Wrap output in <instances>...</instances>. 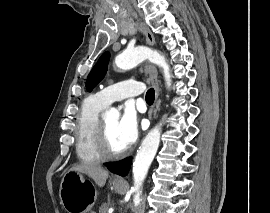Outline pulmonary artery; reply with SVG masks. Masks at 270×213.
I'll list each match as a JSON object with an SVG mask.
<instances>
[{
	"mask_svg": "<svg viewBox=\"0 0 270 213\" xmlns=\"http://www.w3.org/2000/svg\"><path fill=\"white\" fill-rule=\"evenodd\" d=\"M143 90L144 88L141 82L124 80L98 91L94 96L99 104L107 107L113 101L138 96Z\"/></svg>",
	"mask_w": 270,
	"mask_h": 213,
	"instance_id": "obj_1",
	"label": "pulmonary artery"
}]
</instances>
